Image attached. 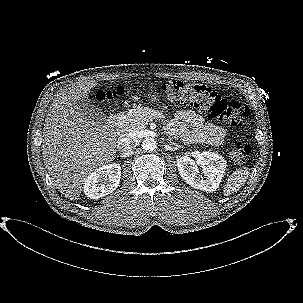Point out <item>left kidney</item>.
I'll use <instances>...</instances> for the list:
<instances>
[{
	"instance_id": "left-kidney-1",
	"label": "left kidney",
	"mask_w": 303,
	"mask_h": 303,
	"mask_svg": "<svg viewBox=\"0 0 303 303\" xmlns=\"http://www.w3.org/2000/svg\"><path fill=\"white\" fill-rule=\"evenodd\" d=\"M180 176L190 186L206 192L216 191L226 169V160L214 152H202L195 160L188 156L176 161ZM198 165L205 167L204 178L199 174Z\"/></svg>"
}]
</instances>
